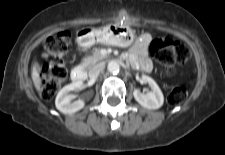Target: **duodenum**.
Wrapping results in <instances>:
<instances>
[{
	"label": "duodenum",
	"instance_id": "obj_1",
	"mask_svg": "<svg viewBox=\"0 0 225 155\" xmlns=\"http://www.w3.org/2000/svg\"><path fill=\"white\" fill-rule=\"evenodd\" d=\"M71 79L75 83L82 82L86 79V71L83 67H76L72 70Z\"/></svg>",
	"mask_w": 225,
	"mask_h": 155
}]
</instances>
